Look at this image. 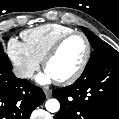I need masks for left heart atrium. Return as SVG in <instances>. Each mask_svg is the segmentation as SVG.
I'll return each instance as SVG.
<instances>
[{
    "label": "left heart atrium",
    "instance_id": "1",
    "mask_svg": "<svg viewBox=\"0 0 119 119\" xmlns=\"http://www.w3.org/2000/svg\"><path fill=\"white\" fill-rule=\"evenodd\" d=\"M53 80L54 78L47 71H45L44 73H40L37 76V81L42 84H48Z\"/></svg>",
    "mask_w": 119,
    "mask_h": 119
}]
</instances>
